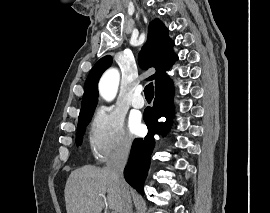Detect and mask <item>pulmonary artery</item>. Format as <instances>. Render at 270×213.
Segmentation results:
<instances>
[{
  "instance_id": "pulmonary-artery-1",
  "label": "pulmonary artery",
  "mask_w": 270,
  "mask_h": 213,
  "mask_svg": "<svg viewBox=\"0 0 270 213\" xmlns=\"http://www.w3.org/2000/svg\"><path fill=\"white\" fill-rule=\"evenodd\" d=\"M141 92H142L141 87H137L134 90L132 98H131L132 106L135 108H138V109L143 108L144 104H145V101H144V98H143Z\"/></svg>"
}]
</instances>
